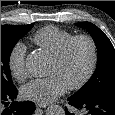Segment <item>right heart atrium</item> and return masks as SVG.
I'll list each match as a JSON object with an SVG mask.
<instances>
[{"instance_id":"right-heart-atrium-1","label":"right heart atrium","mask_w":115,"mask_h":115,"mask_svg":"<svg viewBox=\"0 0 115 115\" xmlns=\"http://www.w3.org/2000/svg\"><path fill=\"white\" fill-rule=\"evenodd\" d=\"M8 67L12 76L18 81H25L28 76L26 67V46L17 42L11 49L8 56Z\"/></svg>"}]
</instances>
